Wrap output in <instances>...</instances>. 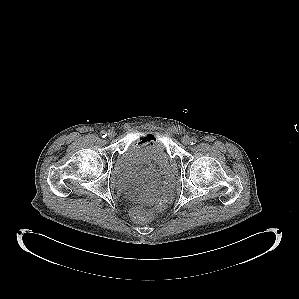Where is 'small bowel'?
I'll return each instance as SVG.
<instances>
[{"label": "small bowel", "instance_id": "obj_1", "mask_svg": "<svg viewBox=\"0 0 299 299\" xmlns=\"http://www.w3.org/2000/svg\"><path fill=\"white\" fill-rule=\"evenodd\" d=\"M150 136L149 135H147V136H145L144 138H149ZM148 177L153 181L154 180V178H155V174L153 173V172H150L149 174H148Z\"/></svg>", "mask_w": 299, "mask_h": 299}]
</instances>
